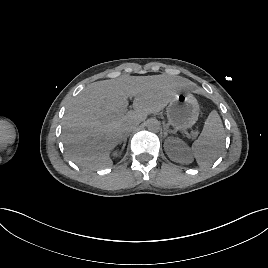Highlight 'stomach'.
<instances>
[{"label":"stomach","instance_id":"1","mask_svg":"<svg viewBox=\"0 0 268 268\" xmlns=\"http://www.w3.org/2000/svg\"><path fill=\"white\" fill-rule=\"evenodd\" d=\"M166 113L169 124L176 131H184L197 122L200 108L191 93L182 91L171 100Z\"/></svg>","mask_w":268,"mask_h":268}]
</instances>
